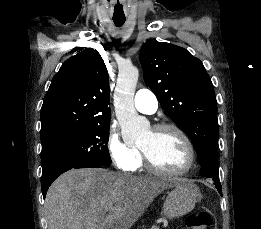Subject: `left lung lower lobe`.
<instances>
[{"label":"left lung lower lobe","mask_w":261,"mask_h":229,"mask_svg":"<svg viewBox=\"0 0 261 229\" xmlns=\"http://www.w3.org/2000/svg\"><path fill=\"white\" fill-rule=\"evenodd\" d=\"M201 174L207 178H213L215 186L222 195L221 184L219 182V167L216 157H210L201 164Z\"/></svg>","instance_id":"0a47b994"}]
</instances>
